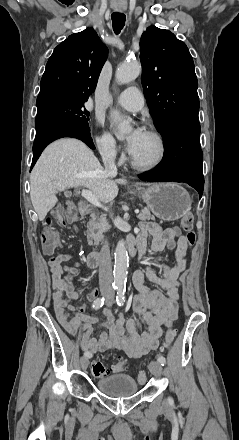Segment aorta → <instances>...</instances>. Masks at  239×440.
Listing matches in <instances>:
<instances>
[{
	"label": "aorta",
	"instance_id": "762f6f07",
	"mask_svg": "<svg viewBox=\"0 0 239 440\" xmlns=\"http://www.w3.org/2000/svg\"><path fill=\"white\" fill-rule=\"evenodd\" d=\"M141 72L139 64H122L118 66L115 74L117 84H129L138 78ZM110 116L116 124L115 136L117 140H125L127 134L132 132L130 120H125L118 110H111ZM129 268L128 252L126 250L124 240H119L114 254V288L123 290L127 282V274Z\"/></svg>",
	"mask_w": 239,
	"mask_h": 440
}]
</instances>
